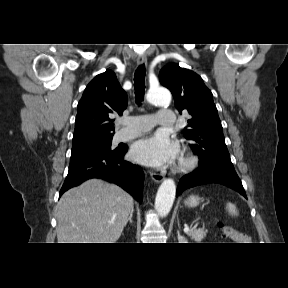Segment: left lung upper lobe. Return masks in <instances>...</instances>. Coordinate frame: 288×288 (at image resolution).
Returning <instances> with one entry per match:
<instances>
[{
    "instance_id": "left-lung-upper-lobe-1",
    "label": "left lung upper lobe",
    "mask_w": 288,
    "mask_h": 288,
    "mask_svg": "<svg viewBox=\"0 0 288 288\" xmlns=\"http://www.w3.org/2000/svg\"><path fill=\"white\" fill-rule=\"evenodd\" d=\"M160 83L173 94L180 113L191 115L184 136L199 157L202 166L218 165L235 170L225 144L222 125L212 92L195 72L181 68L176 63L167 64L160 71Z\"/></svg>"
}]
</instances>
